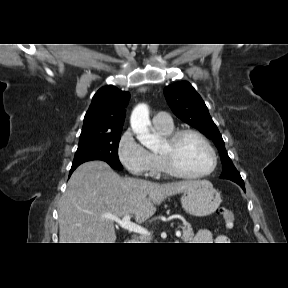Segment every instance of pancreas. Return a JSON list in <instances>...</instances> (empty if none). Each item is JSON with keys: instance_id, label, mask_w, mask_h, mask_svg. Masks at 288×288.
Wrapping results in <instances>:
<instances>
[{"instance_id": "pancreas-1", "label": "pancreas", "mask_w": 288, "mask_h": 288, "mask_svg": "<svg viewBox=\"0 0 288 288\" xmlns=\"http://www.w3.org/2000/svg\"><path fill=\"white\" fill-rule=\"evenodd\" d=\"M181 228L183 231V235H182L181 239L184 242L192 240L194 233L192 231L190 224L185 222V223H183V226H181ZM140 240H141V243H145V242H147L148 238L141 237Z\"/></svg>"}]
</instances>
